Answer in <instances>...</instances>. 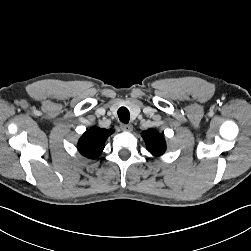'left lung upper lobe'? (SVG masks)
Returning a JSON list of instances; mask_svg holds the SVG:
<instances>
[{
  "label": "left lung upper lobe",
  "mask_w": 251,
  "mask_h": 251,
  "mask_svg": "<svg viewBox=\"0 0 251 251\" xmlns=\"http://www.w3.org/2000/svg\"><path fill=\"white\" fill-rule=\"evenodd\" d=\"M147 150L154 156L162 155L166 150L164 136L154 129H149L141 133Z\"/></svg>",
  "instance_id": "5c2ea615"
}]
</instances>
